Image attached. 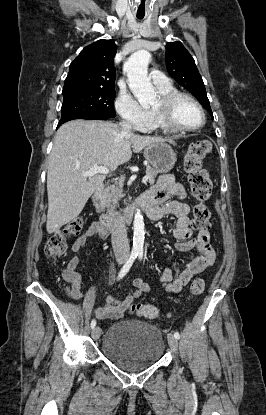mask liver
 <instances>
[{"instance_id":"obj_1","label":"liver","mask_w":266,"mask_h":415,"mask_svg":"<svg viewBox=\"0 0 266 415\" xmlns=\"http://www.w3.org/2000/svg\"><path fill=\"white\" fill-rule=\"evenodd\" d=\"M159 137L122 134V128L107 121L73 120L57 131L49 155L47 172L49 234L76 218L96 188L105 179L82 174L94 166L114 170L128 162L132 150L139 153L150 144L166 142Z\"/></svg>"}]
</instances>
